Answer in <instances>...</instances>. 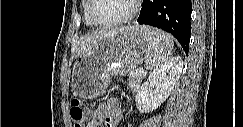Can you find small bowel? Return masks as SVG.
<instances>
[{
  "instance_id": "1",
  "label": "small bowel",
  "mask_w": 243,
  "mask_h": 127,
  "mask_svg": "<svg viewBox=\"0 0 243 127\" xmlns=\"http://www.w3.org/2000/svg\"><path fill=\"white\" fill-rule=\"evenodd\" d=\"M121 106L119 101L111 99L107 102L100 103L92 113L87 127L108 126L116 127L121 119Z\"/></svg>"
}]
</instances>
